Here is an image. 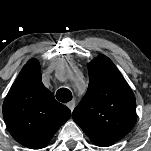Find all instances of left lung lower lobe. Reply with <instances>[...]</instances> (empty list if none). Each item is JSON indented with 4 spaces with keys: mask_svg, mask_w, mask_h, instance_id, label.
<instances>
[{
    "mask_svg": "<svg viewBox=\"0 0 151 151\" xmlns=\"http://www.w3.org/2000/svg\"><path fill=\"white\" fill-rule=\"evenodd\" d=\"M112 144H113V143H111V142L96 143V145L102 146V147L110 146V145H112Z\"/></svg>",
    "mask_w": 151,
    "mask_h": 151,
    "instance_id": "1",
    "label": "left lung lower lobe"
}]
</instances>
